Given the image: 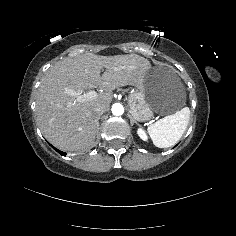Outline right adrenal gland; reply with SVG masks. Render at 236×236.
Wrapping results in <instances>:
<instances>
[{"label":"right adrenal gland","instance_id":"2a0ac1e0","mask_svg":"<svg viewBox=\"0 0 236 236\" xmlns=\"http://www.w3.org/2000/svg\"><path fill=\"white\" fill-rule=\"evenodd\" d=\"M99 129H100V124H97V137L99 136Z\"/></svg>","mask_w":236,"mask_h":236}]
</instances>
